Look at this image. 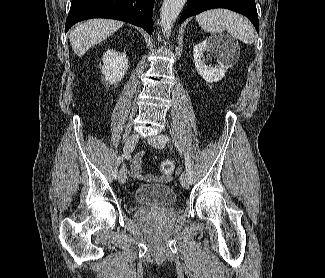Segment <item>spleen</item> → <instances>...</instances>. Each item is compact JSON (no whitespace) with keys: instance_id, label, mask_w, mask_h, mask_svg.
<instances>
[{"instance_id":"spleen-1","label":"spleen","mask_w":325,"mask_h":278,"mask_svg":"<svg viewBox=\"0 0 325 278\" xmlns=\"http://www.w3.org/2000/svg\"><path fill=\"white\" fill-rule=\"evenodd\" d=\"M196 21L205 32H227L245 44H252L255 31L251 23L243 16L226 9H212L196 16Z\"/></svg>"}]
</instances>
